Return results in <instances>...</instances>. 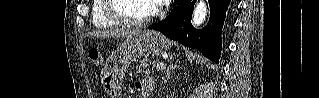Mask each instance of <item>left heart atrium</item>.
<instances>
[{
	"label": "left heart atrium",
	"mask_w": 319,
	"mask_h": 98,
	"mask_svg": "<svg viewBox=\"0 0 319 98\" xmlns=\"http://www.w3.org/2000/svg\"><path fill=\"white\" fill-rule=\"evenodd\" d=\"M169 0H152V8L154 11L160 10L165 4L169 3Z\"/></svg>",
	"instance_id": "39dd6f15"
}]
</instances>
